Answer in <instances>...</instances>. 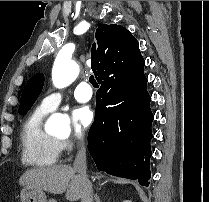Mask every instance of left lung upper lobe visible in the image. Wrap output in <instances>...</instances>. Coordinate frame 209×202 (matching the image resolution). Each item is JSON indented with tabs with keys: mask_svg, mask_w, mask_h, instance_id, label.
<instances>
[{
	"mask_svg": "<svg viewBox=\"0 0 209 202\" xmlns=\"http://www.w3.org/2000/svg\"><path fill=\"white\" fill-rule=\"evenodd\" d=\"M44 85V75L41 73L35 74L31 77L21 95L19 114L25 115L32 107Z\"/></svg>",
	"mask_w": 209,
	"mask_h": 202,
	"instance_id": "5c2ea615",
	"label": "left lung upper lobe"
}]
</instances>
